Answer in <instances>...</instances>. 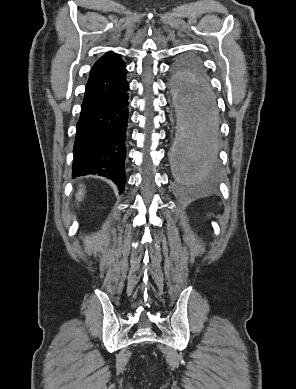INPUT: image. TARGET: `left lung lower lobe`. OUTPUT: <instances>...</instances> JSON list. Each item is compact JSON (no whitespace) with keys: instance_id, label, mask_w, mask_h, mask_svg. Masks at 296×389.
Wrapping results in <instances>:
<instances>
[{"instance_id":"left-lung-lower-lobe-1","label":"left lung lower lobe","mask_w":296,"mask_h":389,"mask_svg":"<svg viewBox=\"0 0 296 389\" xmlns=\"http://www.w3.org/2000/svg\"><path fill=\"white\" fill-rule=\"evenodd\" d=\"M181 93L193 113V124L191 131L185 133L178 160L186 176H204L212 169L216 159L215 100L206 77H197L195 87ZM206 125L208 129H205Z\"/></svg>"}]
</instances>
